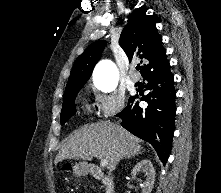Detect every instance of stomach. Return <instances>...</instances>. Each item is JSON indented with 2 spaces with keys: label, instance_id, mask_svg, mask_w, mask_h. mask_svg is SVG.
<instances>
[{
  "label": "stomach",
  "instance_id": "stomach-1",
  "mask_svg": "<svg viewBox=\"0 0 221 193\" xmlns=\"http://www.w3.org/2000/svg\"><path fill=\"white\" fill-rule=\"evenodd\" d=\"M88 170V166L86 163L82 162V163H78L75 164L73 166V172L74 174H76L77 176H82L85 175L87 173Z\"/></svg>",
  "mask_w": 221,
  "mask_h": 193
}]
</instances>
